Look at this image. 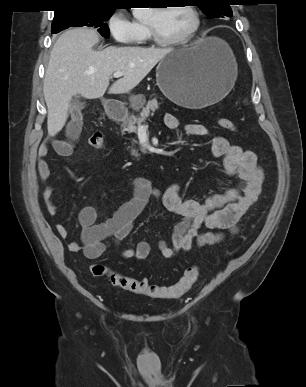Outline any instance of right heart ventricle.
<instances>
[{
    "mask_svg": "<svg viewBox=\"0 0 306 387\" xmlns=\"http://www.w3.org/2000/svg\"><path fill=\"white\" fill-rule=\"evenodd\" d=\"M139 28V38L137 40L138 43H145L149 36H148V31L146 28V25L143 22H136Z\"/></svg>",
    "mask_w": 306,
    "mask_h": 387,
    "instance_id": "1",
    "label": "right heart ventricle"
}]
</instances>
